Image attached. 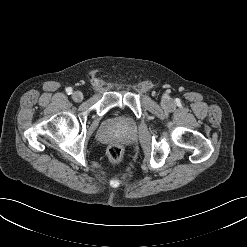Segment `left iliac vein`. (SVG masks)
Instances as JSON below:
<instances>
[{"mask_svg": "<svg viewBox=\"0 0 247 247\" xmlns=\"http://www.w3.org/2000/svg\"><path fill=\"white\" fill-rule=\"evenodd\" d=\"M162 107L164 109H171L173 107V102L171 100H169V99H165L162 102Z\"/></svg>", "mask_w": 247, "mask_h": 247, "instance_id": "4c4485c4", "label": "left iliac vein"}]
</instances>
